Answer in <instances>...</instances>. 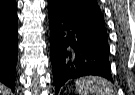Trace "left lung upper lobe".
I'll return each instance as SVG.
<instances>
[{
    "instance_id": "obj_1",
    "label": "left lung upper lobe",
    "mask_w": 135,
    "mask_h": 95,
    "mask_svg": "<svg viewBox=\"0 0 135 95\" xmlns=\"http://www.w3.org/2000/svg\"><path fill=\"white\" fill-rule=\"evenodd\" d=\"M48 6L68 17L105 27L97 0H48Z\"/></svg>"
}]
</instances>
